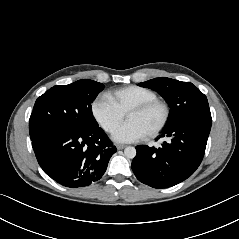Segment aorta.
Wrapping results in <instances>:
<instances>
[{
	"mask_svg": "<svg viewBox=\"0 0 239 239\" xmlns=\"http://www.w3.org/2000/svg\"><path fill=\"white\" fill-rule=\"evenodd\" d=\"M124 155L126 158L133 159L136 156L135 147L128 146L124 149Z\"/></svg>",
	"mask_w": 239,
	"mask_h": 239,
	"instance_id": "1",
	"label": "aorta"
}]
</instances>
